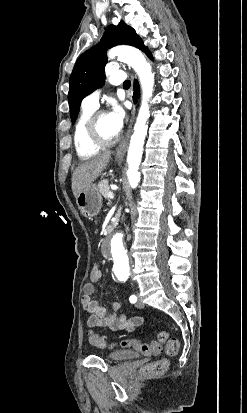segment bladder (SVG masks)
Instances as JSON below:
<instances>
[{
    "label": "bladder",
    "instance_id": "1",
    "mask_svg": "<svg viewBox=\"0 0 247 413\" xmlns=\"http://www.w3.org/2000/svg\"><path fill=\"white\" fill-rule=\"evenodd\" d=\"M137 357H139V352L129 350H118L106 355L107 360L115 362H125L128 359H135Z\"/></svg>",
    "mask_w": 247,
    "mask_h": 413
}]
</instances>
